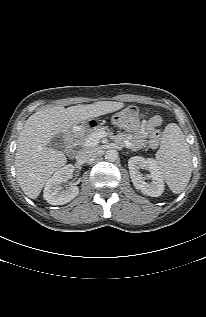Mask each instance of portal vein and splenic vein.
I'll return each instance as SVG.
<instances>
[{"mask_svg": "<svg viewBox=\"0 0 206 317\" xmlns=\"http://www.w3.org/2000/svg\"><path fill=\"white\" fill-rule=\"evenodd\" d=\"M105 136H107L106 132H100V133H95L92 134L86 141L85 146L86 147H94L99 143V140L101 138H104Z\"/></svg>", "mask_w": 206, "mask_h": 317, "instance_id": "obj_1", "label": "portal vein and splenic vein"}]
</instances>
